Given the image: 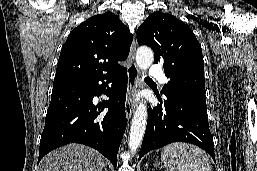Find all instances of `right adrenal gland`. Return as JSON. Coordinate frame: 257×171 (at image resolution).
<instances>
[{
  "label": "right adrenal gland",
  "mask_w": 257,
  "mask_h": 171,
  "mask_svg": "<svg viewBox=\"0 0 257 171\" xmlns=\"http://www.w3.org/2000/svg\"><path fill=\"white\" fill-rule=\"evenodd\" d=\"M104 171H108V170H107V168H105V170H104Z\"/></svg>",
  "instance_id": "2a0ac1e0"
}]
</instances>
